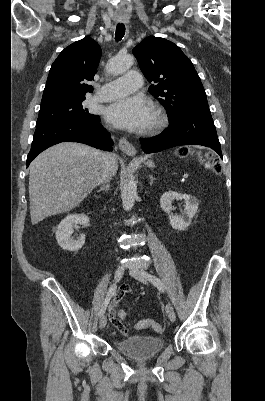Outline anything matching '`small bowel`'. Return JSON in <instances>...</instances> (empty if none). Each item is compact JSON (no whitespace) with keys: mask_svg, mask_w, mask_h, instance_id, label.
<instances>
[{"mask_svg":"<svg viewBox=\"0 0 265 401\" xmlns=\"http://www.w3.org/2000/svg\"><path fill=\"white\" fill-rule=\"evenodd\" d=\"M130 292L129 287L127 286H122L119 291L117 292L115 299L113 301V304L111 306L110 309V313H112L115 310L116 305L118 304V302L126 295Z\"/></svg>","mask_w":265,"mask_h":401,"instance_id":"obj_1","label":"small bowel"}]
</instances>
